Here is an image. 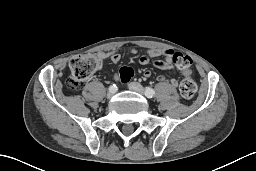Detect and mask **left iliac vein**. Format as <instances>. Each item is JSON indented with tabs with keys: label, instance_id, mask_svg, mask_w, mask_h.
I'll return each instance as SVG.
<instances>
[{
	"label": "left iliac vein",
	"instance_id": "left-iliac-vein-1",
	"mask_svg": "<svg viewBox=\"0 0 256 171\" xmlns=\"http://www.w3.org/2000/svg\"><path fill=\"white\" fill-rule=\"evenodd\" d=\"M128 88L132 91L144 94V88L137 82H131L128 84Z\"/></svg>",
	"mask_w": 256,
	"mask_h": 171
}]
</instances>
